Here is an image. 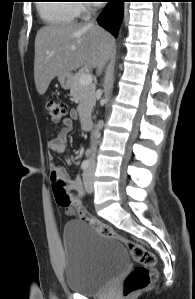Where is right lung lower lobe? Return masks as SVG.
I'll return each instance as SVG.
<instances>
[{"mask_svg":"<svg viewBox=\"0 0 195 299\" xmlns=\"http://www.w3.org/2000/svg\"><path fill=\"white\" fill-rule=\"evenodd\" d=\"M124 1L125 0H108V5L97 19L98 23L115 37L118 34L122 19Z\"/></svg>","mask_w":195,"mask_h":299,"instance_id":"1","label":"right lung lower lobe"}]
</instances>
